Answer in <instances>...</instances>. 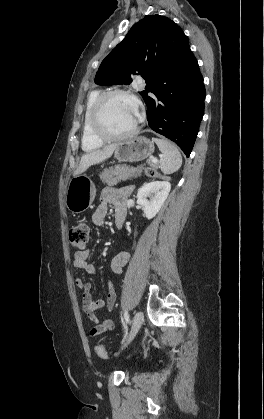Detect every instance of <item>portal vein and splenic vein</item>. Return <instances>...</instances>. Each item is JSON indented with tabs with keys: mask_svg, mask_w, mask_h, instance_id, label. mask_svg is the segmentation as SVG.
Returning a JSON list of instances; mask_svg holds the SVG:
<instances>
[{
	"mask_svg": "<svg viewBox=\"0 0 264 419\" xmlns=\"http://www.w3.org/2000/svg\"><path fill=\"white\" fill-rule=\"evenodd\" d=\"M152 162H153V163H157V159H156V158H153V159H152Z\"/></svg>",
	"mask_w": 264,
	"mask_h": 419,
	"instance_id": "1",
	"label": "portal vein and splenic vein"
}]
</instances>
